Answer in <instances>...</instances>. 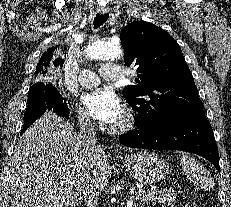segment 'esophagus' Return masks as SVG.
<instances>
[{
    "instance_id": "34e87169",
    "label": "esophagus",
    "mask_w": 231,
    "mask_h": 207,
    "mask_svg": "<svg viewBox=\"0 0 231 207\" xmlns=\"http://www.w3.org/2000/svg\"><path fill=\"white\" fill-rule=\"evenodd\" d=\"M100 13H101V14H106V11H101Z\"/></svg>"
}]
</instances>
